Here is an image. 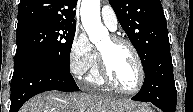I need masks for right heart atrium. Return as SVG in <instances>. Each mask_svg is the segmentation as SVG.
Returning <instances> with one entry per match:
<instances>
[{"mask_svg":"<svg viewBox=\"0 0 193 112\" xmlns=\"http://www.w3.org/2000/svg\"><path fill=\"white\" fill-rule=\"evenodd\" d=\"M96 63V52L85 33L77 30L72 38L68 64L71 73L76 77L88 74Z\"/></svg>","mask_w":193,"mask_h":112,"instance_id":"d8ad5b80","label":"right heart atrium"}]
</instances>
